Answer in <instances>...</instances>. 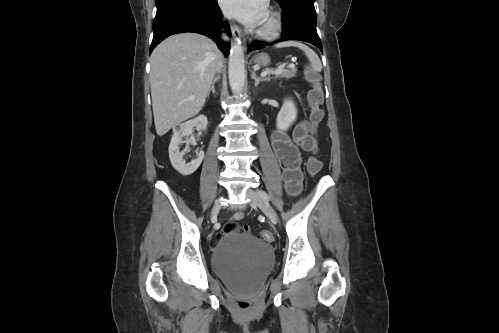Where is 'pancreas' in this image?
I'll return each mask as SVG.
<instances>
[{"mask_svg": "<svg viewBox=\"0 0 499 333\" xmlns=\"http://www.w3.org/2000/svg\"><path fill=\"white\" fill-rule=\"evenodd\" d=\"M269 71H272V70H269ZM296 73H297V70L295 68H291L289 70H283L280 73H271V74H273L279 78H284V77L291 78V77H295Z\"/></svg>", "mask_w": 499, "mask_h": 333, "instance_id": "1", "label": "pancreas"}]
</instances>
